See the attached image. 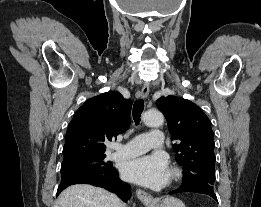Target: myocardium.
I'll return each mask as SVG.
<instances>
[{"instance_id": "myocardium-1", "label": "myocardium", "mask_w": 261, "mask_h": 207, "mask_svg": "<svg viewBox=\"0 0 261 207\" xmlns=\"http://www.w3.org/2000/svg\"><path fill=\"white\" fill-rule=\"evenodd\" d=\"M181 178V172L177 168H172L169 171L168 179H167V185L170 186L176 182H178Z\"/></svg>"}]
</instances>
